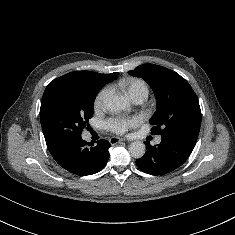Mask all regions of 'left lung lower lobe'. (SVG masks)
<instances>
[{
    "mask_svg": "<svg viewBox=\"0 0 235 235\" xmlns=\"http://www.w3.org/2000/svg\"><path fill=\"white\" fill-rule=\"evenodd\" d=\"M162 142L151 146L147 141L146 154L136 161L138 168L148 174L163 175L180 167L191 154L197 137L186 134L161 136Z\"/></svg>",
    "mask_w": 235,
    "mask_h": 235,
    "instance_id": "1",
    "label": "left lung lower lobe"
}]
</instances>
